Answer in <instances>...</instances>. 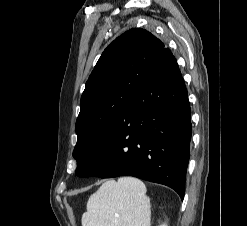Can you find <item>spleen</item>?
<instances>
[{
  "mask_svg": "<svg viewBox=\"0 0 247 226\" xmlns=\"http://www.w3.org/2000/svg\"><path fill=\"white\" fill-rule=\"evenodd\" d=\"M134 177L108 180L87 202L82 226H150V199Z\"/></svg>",
  "mask_w": 247,
  "mask_h": 226,
  "instance_id": "3e777b00",
  "label": "spleen"
}]
</instances>
